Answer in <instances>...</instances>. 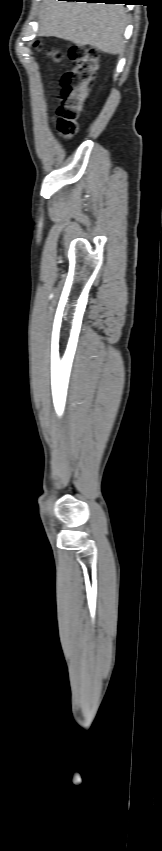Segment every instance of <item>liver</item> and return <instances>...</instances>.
<instances>
[{
	"label": "liver",
	"mask_w": 162,
	"mask_h": 851,
	"mask_svg": "<svg viewBox=\"0 0 162 851\" xmlns=\"http://www.w3.org/2000/svg\"><path fill=\"white\" fill-rule=\"evenodd\" d=\"M38 20L42 36L90 45L113 55L124 50L127 15L121 5L43 0Z\"/></svg>",
	"instance_id": "liver-1"
}]
</instances>
